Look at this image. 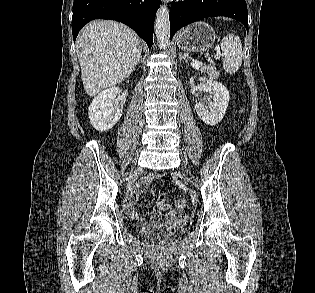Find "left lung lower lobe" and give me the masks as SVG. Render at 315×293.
I'll return each instance as SVG.
<instances>
[{
  "mask_svg": "<svg viewBox=\"0 0 315 293\" xmlns=\"http://www.w3.org/2000/svg\"><path fill=\"white\" fill-rule=\"evenodd\" d=\"M215 16L236 19L248 30V12L245 0H185L171 4L170 38L172 39L183 26Z\"/></svg>",
  "mask_w": 315,
  "mask_h": 293,
  "instance_id": "0a47b994",
  "label": "left lung lower lobe"
}]
</instances>
